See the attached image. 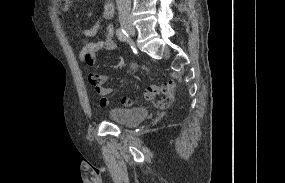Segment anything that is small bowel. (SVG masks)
<instances>
[{
    "label": "small bowel",
    "mask_w": 285,
    "mask_h": 183,
    "mask_svg": "<svg viewBox=\"0 0 285 183\" xmlns=\"http://www.w3.org/2000/svg\"><path fill=\"white\" fill-rule=\"evenodd\" d=\"M64 4L61 7L62 12L68 13L71 9V0H63ZM114 6L110 0H106L103 4L102 19L108 20L113 17ZM102 28L101 22H97L90 29L78 28L79 32L77 34L78 39L82 42V48L79 53V59L82 63L87 66H92L95 64L97 56L103 51H111L115 49L116 44L113 39V26L106 25L103 27L104 37L101 40L92 42L87 39V37L94 36L99 29ZM88 79L95 92L100 96L99 105L101 107H107L110 103L108 95L112 93L113 89L106 87L105 82L107 80L106 75L96 72H91L88 75ZM176 89V83L174 81H167L160 86L153 85L150 86L143 95V99L149 100L155 96H161L160 105L162 107H168L174 97V92ZM129 98L123 99V104Z\"/></svg>",
    "instance_id": "obj_1"
}]
</instances>
